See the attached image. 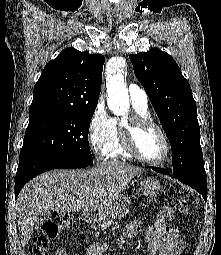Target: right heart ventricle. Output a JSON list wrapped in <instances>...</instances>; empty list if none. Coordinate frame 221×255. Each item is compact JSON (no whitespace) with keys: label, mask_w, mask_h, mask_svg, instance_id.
<instances>
[{"label":"right heart ventricle","mask_w":221,"mask_h":255,"mask_svg":"<svg viewBox=\"0 0 221 255\" xmlns=\"http://www.w3.org/2000/svg\"><path fill=\"white\" fill-rule=\"evenodd\" d=\"M134 114L149 117L147 106L133 104ZM103 155L108 159H133V156L125 149L121 135L120 123L113 119V125L103 149Z\"/></svg>","instance_id":"right-heart-ventricle-1"}]
</instances>
